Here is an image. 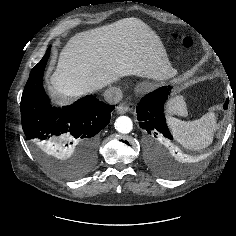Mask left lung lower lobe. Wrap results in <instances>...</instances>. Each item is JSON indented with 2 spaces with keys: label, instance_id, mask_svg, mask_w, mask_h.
Returning <instances> with one entry per match:
<instances>
[{
  "label": "left lung lower lobe",
  "instance_id": "obj_1",
  "mask_svg": "<svg viewBox=\"0 0 236 236\" xmlns=\"http://www.w3.org/2000/svg\"><path fill=\"white\" fill-rule=\"evenodd\" d=\"M171 91L170 86L161 87L145 95L139 102L136 112L139 125L153 137H165L173 139L169 132L164 116V103ZM228 107V99L224 104V109ZM150 139V140H151ZM152 144V142H150Z\"/></svg>",
  "mask_w": 236,
  "mask_h": 236
}]
</instances>
